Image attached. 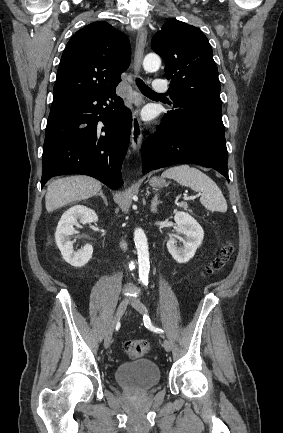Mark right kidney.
<instances>
[{"mask_svg":"<svg viewBox=\"0 0 283 433\" xmlns=\"http://www.w3.org/2000/svg\"><path fill=\"white\" fill-rule=\"evenodd\" d=\"M78 219L80 223L87 224L97 222L98 216L94 210L86 206H73L62 215L55 232L56 244L63 259L74 267H82L87 264L93 254L91 244H86L78 251L73 248V241H71L70 236L76 233L74 225Z\"/></svg>","mask_w":283,"mask_h":433,"instance_id":"1","label":"right kidney"}]
</instances>
